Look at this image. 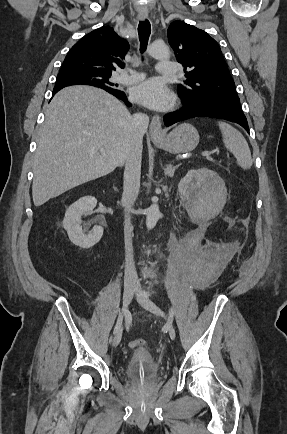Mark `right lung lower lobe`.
Here are the masks:
<instances>
[{
    "label": "right lung lower lobe",
    "mask_w": 287,
    "mask_h": 434,
    "mask_svg": "<svg viewBox=\"0 0 287 434\" xmlns=\"http://www.w3.org/2000/svg\"><path fill=\"white\" fill-rule=\"evenodd\" d=\"M60 89H58L56 91H53L52 95H55ZM107 92H109L110 94L114 95L118 99L122 100L127 106H131V104L128 102L127 97H126V95H125V93L123 91H121V90H110V91H107Z\"/></svg>",
    "instance_id": "obj_1"
}]
</instances>
